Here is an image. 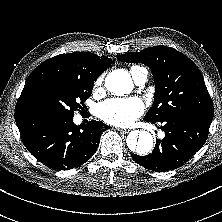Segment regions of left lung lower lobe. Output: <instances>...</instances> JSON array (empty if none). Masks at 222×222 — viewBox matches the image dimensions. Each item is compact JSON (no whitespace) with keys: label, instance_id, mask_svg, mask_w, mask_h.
Listing matches in <instances>:
<instances>
[{"label":"left lung lower lobe","instance_id":"obj_1","mask_svg":"<svg viewBox=\"0 0 222 222\" xmlns=\"http://www.w3.org/2000/svg\"><path fill=\"white\" fill-rule=\"evenodd\" d=\"M213 115V112L188 110L152 122L163 124L160 128L165 132L164 139L156 140L152 153L146 156L131 154L132 159L144 168L157 172L180 167L205 143Z\"/></svg>","mask_w":222,"mask_h":222}]
</instances>
